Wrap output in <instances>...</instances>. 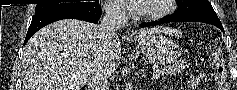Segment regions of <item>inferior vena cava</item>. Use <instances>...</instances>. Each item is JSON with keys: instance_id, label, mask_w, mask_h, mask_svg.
<instances>
[{"instance_id": "inferior-vena-cava-1", "label": "inferior vena cava", "mask_w": 237, "mask_h": 90, "mask_svg": "<svg viewBox=\"0 0 237 90\" xmlns=\"http://www.w3.org/2000/svg\"><path fill=\"white\" fill-rule=\"evenodd\" d=\"M104 16L100 20L99 30L102 40L101 58L94 60L88 68V90H109V76L114 72V68H110L104 54L103 46H109L112 38H118L117 32L121 30L122 24L127 18L126 10L123 4L111 2L108 6H103Z\"/></svg>"}]
</instances>
